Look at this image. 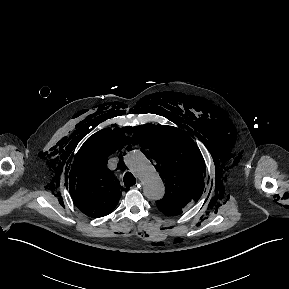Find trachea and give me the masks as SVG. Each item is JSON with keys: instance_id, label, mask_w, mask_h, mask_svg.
Instances as JSON below:
<instances>
[{"instance_id": "1", "label": "trachea", "mask_w": 289, "mask_h": 289, "mask_svg": "<svg viewBox=\"0 0 289 289\" xmlns=\"http://www.w3.org/2000/svg\"><path fill=\"white\" fill-rule=\"evenodd\" d=\"M125 186H132L136 183V179L132 173L126 172L123 178Z\"/></svg>"}]
</instances>
